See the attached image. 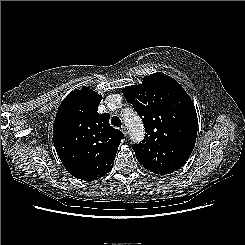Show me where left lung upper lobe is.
Here are the masks:
<instances>
[{"label":"left lung upper lobe","mask_w":245,"mask_h":245,"mask_svg":"<svg viewBox=\"0 0 245 245\" xmlns=\"http://www.w3.org/2000/svg\"><path fill=\"white\" fill-rule=\"evenodd\" d=\"M145 126V137L134 144L138 162L155 174H170L191 155L198 119L191 97L173 78L157 72L142 84L122 90Z\"/></svg>","instance_id":"obj_1"}]
</instances>
